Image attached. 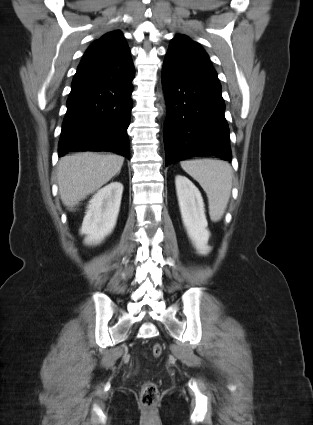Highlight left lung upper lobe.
<instances>
[{
  "label": "left lung upper lobe",
  "instance_id": "obj_1",
  "mask_svg": "<svg viewBox=\"0 0 313 425\" xmlns=\"http://www.w3.org/2000/svg\"><path fill=\"white\" fill-rule=\"evenodd\" d=\"M166 58L192 72L217 76L204 49L186 35L178 34L172 39Z\"/></svg>",
  "mask_w": 313,
  "mask_h": 425
}]
</instances>
